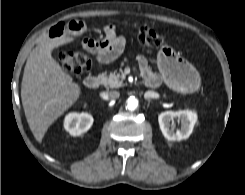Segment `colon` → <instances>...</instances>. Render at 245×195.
<instances>
[{"instance_id":"1","label":"colon","mask_w":245,"mask_h":195,"mask_svg":"<svg viewBox=\"0 0 245 195\" xmlns=\"http://www.w3.org/2000/svg\"><path fill=\"white\" fill-rule=\"evenodd\" d=\"M137 39L146 47H159L163 44V37L146 26L139 29ZM60 64L66 73L81 74L90 68L91 57L83 52L67 51L60 55Z\"/></svg>"}]
</instances>
